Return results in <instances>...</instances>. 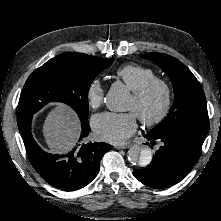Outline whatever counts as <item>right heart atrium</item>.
<instances>
[{
    "label": "right heart atrium",
    "instance_id": "right-heart-atrium-1",
    "mask_svg": "<svg viewBox=\"0 0 221 221\" xmlns=\"http://www.w3.org/2000/svg\"><path fill=\"white\" fill-rule=\"evenodd\" d=\"M105 91L98 79L93 80L87 89L88 103L92 108H98L104 102Z\"/></svg>",
    "mask_w": 221,
    "mask_h": 221
}]
</instances>
